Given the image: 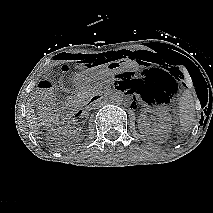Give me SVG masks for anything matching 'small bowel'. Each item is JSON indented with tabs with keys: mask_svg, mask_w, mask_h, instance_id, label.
<instances>
[{
	"mask_svg": "<svg viewBox=\"0 0 213 213\" xmlns=\"http://www.w3.org/2000/svg\"><path fill=\"white\" fill-rule=\"evenodd\" d=\"M124 80H125V79H122V80L120 81V84H122V83L124 82Z\"/></svg>",
	"mask_w": 213,
	"mask_h": 213,
	"instance_id": "c3829d8e",
	"label": "small bowel"
}]
</instances>
